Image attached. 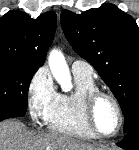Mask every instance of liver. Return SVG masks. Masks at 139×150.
Returning a JSON list of instances; mask_svg holds the SVG:
<instances>
[{"mask_svg": "<svg viewBox=\"0 0 139 150\" xmlns=\"http://www.w3.org/2000/svg\"><path fill=\"white\" fill-rule=\"evenodd\" d=\"M0 150H98V147L56 133L29 136L23 123L5 120L0 123Z\"/></svg>", "mask_w": 139, "mask_h": 150, "instance_id": "6515ba94", "label": "liver"}]
</instances>
